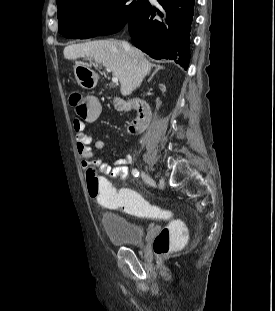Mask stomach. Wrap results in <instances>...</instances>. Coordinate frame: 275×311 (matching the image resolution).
Listing matches in <instances>:
<instances>
[{
  "label": "stomach",
  "mask_w": 275,
  "mask_h": 311,
  "mask_svg": "<svg viewBox=\"0 0 275 311\" xmlns=\"http://www.w3.org/2000/svg\"><path fill=\"white\" fill-rule=\"evenodd\" d=\"M77 83L83 88H93L97 85V75L94 71L86 66H76L74 68Z\"/></svg>",
  "instance_id": "obj_1"
}]
</instances>
